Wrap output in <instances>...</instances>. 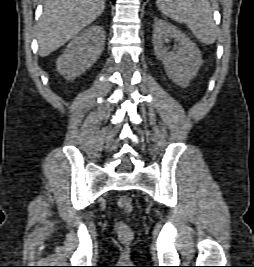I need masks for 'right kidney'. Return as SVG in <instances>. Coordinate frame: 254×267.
Returning <instances> with one entry per match:
<instances>
[{"mask_svg": "<svg viewBox=\"0 0 254 267\" xmlns=\"http://www.w3.org/2000/svg\"><path fill=\"white\" fill-rule=\"evenodd\" d=\"M105 44L102 26L93 25L72 39L56 61L58 72L66 79H74L89 69L100 57Z\"/></svg>", "mask_w": 254, "mask_h": 267, "instance_id": "ca27d5eb", "label": "right kidney"}]
</instances>
